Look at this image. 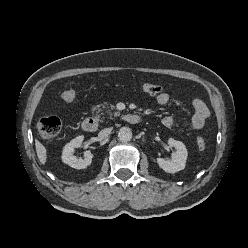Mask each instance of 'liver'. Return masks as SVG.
Listing matches in <instances>:
<instances>
[{
	"label": "liver",
	"instance_id": "liver-1",
	"mask_svg": "<svg viewBox=\"0 0 248 248\" xmlns=\"http://www.w3.org/2000/svg\"><path fill=\"white\" fill-rule=\"evenodd\" d=\"M36 153L41 164H45L47 160V150L43 144L35 140Z\"/></svg>",
	"mask_w": 248,
	"mask_h": 248
}]
</instances>
